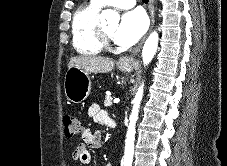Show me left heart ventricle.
Masks as SVG:
<instances>
[{
    "label": "left heart ventricle",
    "mask_w": 227,
    "mask_h": 166,
    "mask_svg": "<svg viewBox=\"0 0 227 166\" xmlns=\"http://www.w3.org/2000/svg\"><path fill=\"white\" fill-rule=\"evenodd\" d=\"M103 27L108 34L113 35L116 28V23L104 22Z\"/></svg>",
    "instance_id": "b2bd125f"
}]
</instances>
